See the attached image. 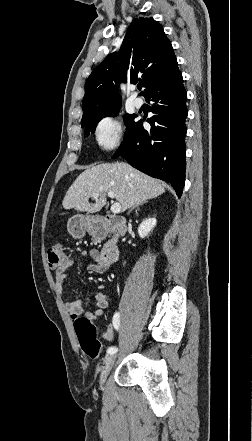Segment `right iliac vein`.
I'll return each instance as SVG.
<instances>
[{"instance_id": "63e3f726", "label": "right iliac vein", "mask_w": 252, "mask_h": 441, "mask_svg": "<svg viewBox=\"0 0 252 441\" xmlns=\"http://www.w3.org/2000/svg\"><path fill=\"white\" fill-rule=\"evenodd\" d=\"M116 360V355L114 354H108L106 355L105 359H104V367L101 371V375H100V382L101 384L104 383L107 373L110 370V368L114 365Z\"/></svg>"}]
</instances>
